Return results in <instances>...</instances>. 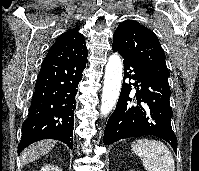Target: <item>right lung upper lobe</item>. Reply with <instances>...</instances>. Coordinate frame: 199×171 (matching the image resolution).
Segmentation results:
<instances>
[{
  "instance_id": "cb5924a9",
  "label": "right lung upper lobe",
  "mask_w": 199,
  "mask_h": 171,
  "mask_svg": "<svg viewBox=\"0 0 199 171\" xmlns=\"http://www.w3.org/2000/svg\"><path fill=\"white\" fill-rule=\"evenodd\" d=\"M75 27L61 34L49 49L43 62L76 61L87 57L84 36Z\"/></svg>"
}]
</instances>
